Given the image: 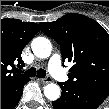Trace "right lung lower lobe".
<instances>
[{"instance_id": "obj_1", "label": "right lung lower lobe", "mask_w": 109, "mask_h": 109, "mask_svg": "<svg viewBox=\"0 0 109 109\" xmlns=\"http://www.w3.org/2000/svg\"><path fill=\"white\" fill-rule=\"evenodd\" d=\"M30 80L26 77L1 90V109H13L19 102L24 85Z\"/></svg>"}]
</instances>
